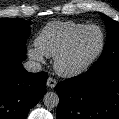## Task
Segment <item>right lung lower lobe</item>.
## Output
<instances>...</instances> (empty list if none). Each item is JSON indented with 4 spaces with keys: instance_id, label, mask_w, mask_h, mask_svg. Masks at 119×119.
<instances>
[{
    "instance_id": "obj_1",
    "label": "right lung lower lobe",
    "mask_w": 119,
    "mask_h": 119,
    "mask_svg": "<svg viewBox=\"0 0 119 119\" xmlns=\"http://www.w3.org/2000/svg\"><path fill=\"white\" fill-rule=\"evenodd\" d=\"M23 53L0 50V119H26L46 92L45 72L29 73Z\"/></svg>"
}]
</instances>
